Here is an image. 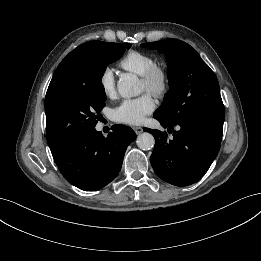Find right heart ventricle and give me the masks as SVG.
Masks as SVG:
<instances>
[{"mask_svg": "<svg viewBox=\"0 0 261 261\" xmlns=\"http://www.w3.org/2000/svg\"><path fill=\"white\" fill-rule=\"evenodd\" d=\"M154 64H156V59L153 55L138 50L127 52L119 60V66L122 69L139 76H143Z\"/></svg>", "mask_w": 261, "mask_h": 261, "instance_id": "right-heart-ventricle-1", "label": "right heart ventricle"}]
</instances>
